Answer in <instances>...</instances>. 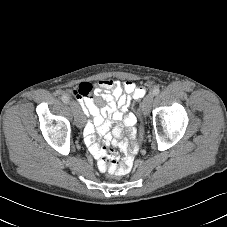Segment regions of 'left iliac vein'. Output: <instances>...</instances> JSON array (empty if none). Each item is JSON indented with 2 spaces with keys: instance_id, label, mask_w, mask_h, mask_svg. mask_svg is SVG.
I'll list each match as a JSON object with an SVG mask.
<instances>
[{
  "instance_id": "obj_1",
  "label": "left iliac vein",
  "mask_w": 227,
  "mask_h": 227,
  "mask_svg": "<svg viewBox=\"0 0 227 227\" xmlns=\"http://www.w3.org/2000/svg\"><path fill=\"white\" fill-rule=\"evenodd\" d=\"M153 99H154V94L149 93L145 96V98L142 102V111L145 116L148 115L150 112Z\"/></svg>"
}]
</instances>
